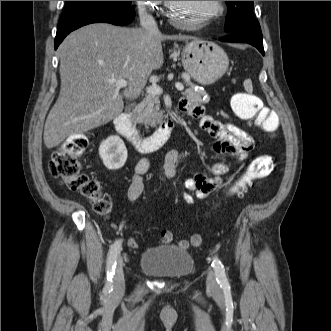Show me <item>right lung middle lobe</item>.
Instances as JSON below:
<instances>
[{
  "label": "right lung middle lobe",
  "mask_w": 331,
  "mask_h": 331,
  "mask_svg": "<svg viewBox=\"0 0 331 331\" xmlns=\"http://www.w3.org/2000/svg\"><path fill=\"white\" fill-rule=\"evenodd\" d=\"M131 5V1H66L60 23L97 10Z\"/></svg>",
  "instance_id": "obj_1"
}]
</instances>
